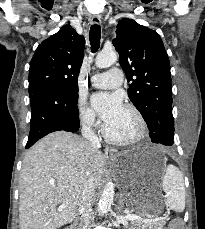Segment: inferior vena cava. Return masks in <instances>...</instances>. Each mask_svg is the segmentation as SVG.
I'll use <instances>...</instances> for the list:
<instances>
[{
	"mask_svg": "<svg viewBox=\"0 0 205 229\" xmlns=\"http://www.w3.org/2000/svg\"><path fill=\"white\" fill-rule=\"evenodd\" d=\"M94 123V117L89 116L86 118L82 125V136L86 138L93 149L99 148V138L95 131L92 129ZM95 194V182L91 176L89 170L86 171V181L83 187L81 200L79 203V214L81 216L82 229H90V223L92 221L91 205L94 200Z\"/></svg>",
	"mask_w": 205,
	"mask_h": 229,
	"instance_id": "obj_1",
	"label": "inferior vena cava"
}]
</instances>
